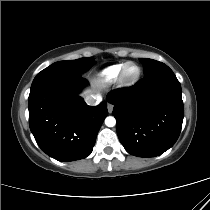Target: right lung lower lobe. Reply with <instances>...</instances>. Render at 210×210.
Instances as JSON below:
<instances>
[{
	"label": "right lung lower lobe",
	"instance_id": "right-lung-lower-lobe-1",
	"mask_svg": "<svg viewBox=\"0 0 210 210\" xmlns=\"http://www.w3.org/2000/svg\"><path fill=\"white\" fill-rule=\"evenodd\" d=\"M87 80L81 74L39 73L28 98L29 125L39 147L63 162L87 157L108 114L107 103L88 106L78 96Z\"/></svg>",
	"mask_w": 210,
	"mask_h": 210
}]
</instances>
